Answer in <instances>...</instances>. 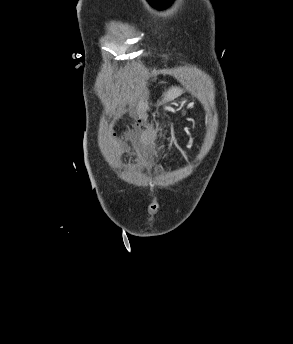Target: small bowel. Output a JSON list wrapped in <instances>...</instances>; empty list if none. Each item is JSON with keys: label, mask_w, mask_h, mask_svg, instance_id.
<instances>
[{"label": "small bowel", "mask_w": 293, "mask_h": 344, "mask_svg": "<svg viewBox=\"0 0 293 344\" xmlns=\"http://www.w3.org/2000/svg\"><path fill=\"white\" fill-rule=\"evenodd\" d=\"M157 139V131L153 128H145L139 135H131L128 143L133 149L144 152H151L154 149Z\"/></svg>", "instance_id": "obj_1"}]
</instances>
